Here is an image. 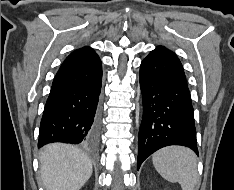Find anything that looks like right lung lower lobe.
<instances>
[{"label": "right lung lower lobe", "mask_w": 234, "mask_h": 190, "mask_svg": "<svg viewBox=\"0 0 234 190\" xmlns=\"http://www.w3.org/2000/svg\"><path fill=\"white\" fill-rule=\"evenodd\" d=\"M101 82V61L92 48L77 49L65 59L44 108L38 147L96 142Z\"/></svg>", "instance_id": "1"}]
</instances>
